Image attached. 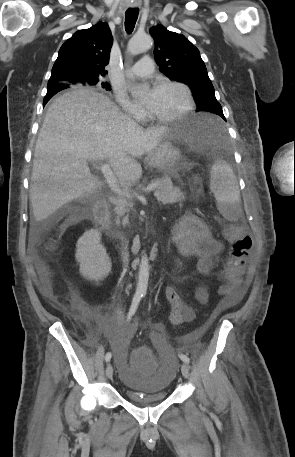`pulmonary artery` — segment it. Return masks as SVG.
<instances>
[{
  "label": "pulmonary artery",
  "instance_id": "obj_1",
  "mask_svg": "<svg viewBox=\"0 0 295 457\" xmlns=\"http://www.w3.org/2000/svg\"><path fill=\"white\" fill-rule=\"evenodd\" d=\"M154 71V63L153 60L145 56L142 59H140L135 65H133L128 73L131 76H136V77H148L150 76Z\"/></svg>",
  "mask_w": 295,
  "mask_h": 457
}]
</instances>
